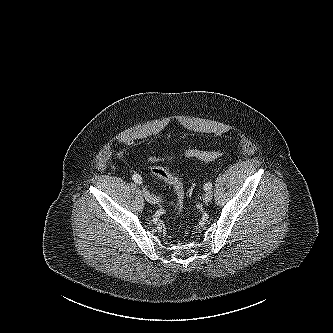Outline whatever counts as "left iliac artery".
Segmentation results:
<instances>
[{"label":"left iliac artery","instance_id":"1","mask_svg":"<svg viewBox=\"0 0 333 333\" xmlns=\"http://www.w3.org/2000/svg\"><path fill=\"white\" fill-rule=\"evenodd\" d=\"M211 188H212V184L210 182H208L204 185V190H206V191L210 190Z\"/></svg>","mask_w":333,"mask_h":333}]
</instances>
